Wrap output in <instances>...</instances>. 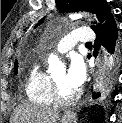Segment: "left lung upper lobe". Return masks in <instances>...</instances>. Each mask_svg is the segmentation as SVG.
<instances>
[{"mask_svg": "<svg viewBox=\"0 0 122 123\" xmlns=\"http://www.w3.org/2000/svg\"><path fill=\"white\" fill-rule=\"evenodd\" d=\"M57 8L62 12H77L89 11L98 16L100 23L96 26L92 25L91 28L96 31L102 27L107 17L111 14L110 6L106 0H56ZM42 18L38 25L42 23Z\"/></svg>", "mask_w": 122, "mask_h": 123, "instance_id": "1", "label": "left lung upper lobe"}]
</instances>
